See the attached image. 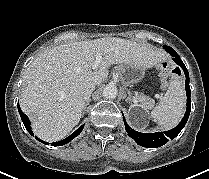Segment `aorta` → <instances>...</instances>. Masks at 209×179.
<instances>
[{"mask_svg":"<svg viewBox=\"0 0 209 179\" xmlns=\"http://www.w3.org/2000/svg\"><path fill=\"white\" fill-rule=\"evenodd\" d=\"M118 90L115 85H107L103 90V97L105 99H114L117 97Z\"/></svg>","mask_w":209,"mask_h":179,"instance_id":"obj_1","label":"aorta"}]
</instances>
